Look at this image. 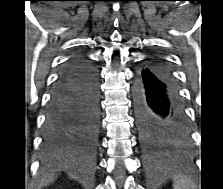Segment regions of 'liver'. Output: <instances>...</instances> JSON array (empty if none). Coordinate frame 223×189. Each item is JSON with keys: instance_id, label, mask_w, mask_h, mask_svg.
<instances>
[{"instance_id": "liver-1", "label": "liver", "mask_w": 223, "mask_h": 189, "mask_svg": "<svg viewBox=\"0 0 223 189\" xmlns=\"http://www.w3.org/2000/svg\"><path fill=\"white\" fill-rule=\"evenodd\" d=\"M53 179L54 178L52 176L48 177L47 179L42 181V185H47L48 183L52 182Z\"/></svg>"}]
</instances>
